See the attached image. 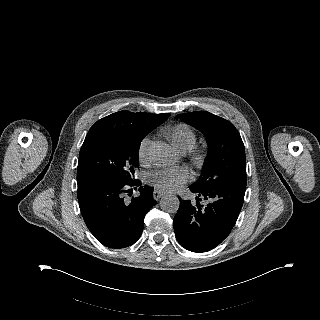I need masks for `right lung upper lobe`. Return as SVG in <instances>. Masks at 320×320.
Listing matches in <instances>:
<instances>
[{"label":"right lung upper lobe","mask_w":320,"mask_h":320,"mask_svg":"<svg viewBox=\"0 0 320 320\" xmlns=\"http://www.w3.org/2000/svg\"><path fill=\"white\" fill-rule=\"evenodd\" d=\"M170 114H148L120 111L97 121L89 130L81 150L90 145L106 140L135 141L143 139Z\"/></svg>","instance_id":"obj_1"}]
</instances>
